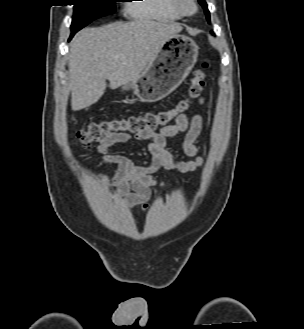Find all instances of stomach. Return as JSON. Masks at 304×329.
I'll return each mask as SVG.
<instances>
[{
    "mask_svg": "<svg viewBox=\"0 0 304 329\" xmlns=\"http://www.w3.org/2000/svg\"><path fill=\"white\" fill-rule=\"evenodd\" d=\"M198 49L195 41L188 36L176 34L169 37L141 75L130 84L123 85L122 89H133L142 102L162 100L188 76L197 61Z\"/></svg>",
    "mask_w": 304,
    "mask_h": 329,
    "instance_id": "obj_1",
    "label": "stomach"
}]
</instances>
